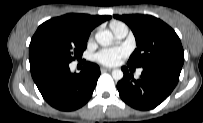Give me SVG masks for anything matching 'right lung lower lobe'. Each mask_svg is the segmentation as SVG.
I'll use <instances>...</instances> for the list:
<instances>
[{
  "label": "right lung lower lobe",
  "instance_id": "98d812e1",
  "mask_svg": "<svg viewBox=\"0 0 203 123\" xmlns=\"http://www.w3.org/2000/svg\"><path fill=\"white\" fill-rule=\"evenodd\" d=\"M30 61L32 78L43 98L54 108L72 111L91 97L100 68L86 62L80 73H71L69 63L55 58L36 57Z\"/></svg>",
  "mask_w": 203,
  "mask_h": 123
}]
</instances>
